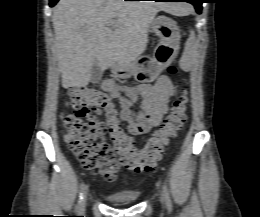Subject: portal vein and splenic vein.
Segmentation results:
<instances>
[{"mask_svg": "<svg viewBox=\"0 0 260 217\" xmlns=\"http://www.w3.org/2000/svg\"><path fill=\"white\" fill-rule=\"evenodd\" d=\"M107 25H108L109 27L114 28V27H115V22H114V21H110Z\"/></svg>", "mask_w": 260, "mask_h": 217, "instance_id": "1", "label": "portal vein and splenic vein"}]
</instances>
